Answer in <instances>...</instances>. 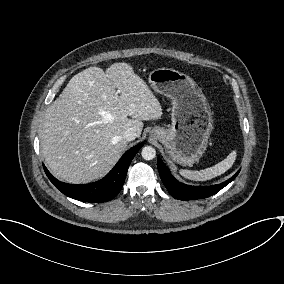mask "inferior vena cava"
Returning a JSON list of instances; mask_svg holds the SVG:
<instances>
[{"instance_id": "1", "label": "inferior vena cava", "mask_w": 284, "mask_h": 284, "mask_svg": "<svg viewBox=\"0 0 284 284\" xmlns=\"http://www.w3.org/2000/svg\"><path fill=\"white\" fill-rule=\"evenodd\" d=\"M137 134L133 128H128L123 134V138L126 141H132L136 138Z\"/></svg>"}]
</instances>
